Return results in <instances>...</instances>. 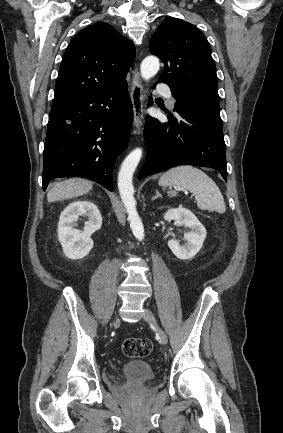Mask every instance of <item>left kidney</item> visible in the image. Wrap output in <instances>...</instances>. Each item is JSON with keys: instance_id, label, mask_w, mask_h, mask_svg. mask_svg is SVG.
Returning <instances> with one entry per match:
<instances>
[{"instance_id": "left-kidney-1", "label": "left kidney", "mask_w": 283, "mask_h": 433, "mask_svg": "<svg viewBox=\"0 0 283 433\" xmlns=\"http://www.w3.org/2000/svg\"><path fill=\"white\" fill-rule=\"evenodd\" d=\"M164 219L175 220L190 229V232L184 236L186 241L184 245H180L177 239H171L168 241V246L177 258L192 259L199 252L205 240L207 232L204 226L190 210L183 207L169 209L164 214Z\"/></svg>"}]
</instances>
